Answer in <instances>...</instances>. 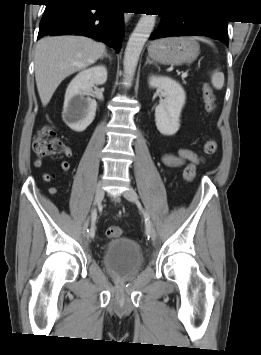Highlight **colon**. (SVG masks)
<instances>
[{"label":"colon","instance_id":"1","mask_svg":"<svg viewBox=\"0 0 261 355\" xmlns=\"http://www.w3.org/2000/svg\"><path fill=\"white\" fill-rule=\"evenodd\" d=\"M203 98L206 111L212 114L215 110V95L210 85L205 84L203 87ZM66 149L65 143L57 137L55 129L50 125L43 126L37 133L33 143V150L40 158H54L64 153ZM217 142L211 138L205 142L203 146V157H209L216 153ZM197 163L191 162L183 170L185 180L192 181L196 176ZM123 234L120 226H110L106 230L108 238H118Z\"/></svg>","mask_w":261,"mask_h":355}]
</instances>
